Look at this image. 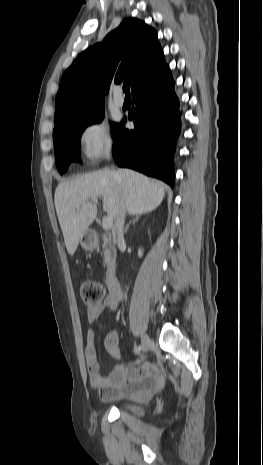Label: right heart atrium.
<instances>
[{
	"label": "right heart atrium",
	"instance_id": "d8ad5b80",
	"mask_svg": "<svg viewBox=\"0 0 263 465\" xmlns=\"http://www.w3.org/2000/svg\"><path fill=\"white\" fill-rule=\"evenodd\" d=\"M78 145L82 156L88 161H97L106 156L113 147L106 121L95 117L85 123L79 132Z\"/></svg>",
	"mask_w": 263,
	"mask_h": 465
}]
</instances>
